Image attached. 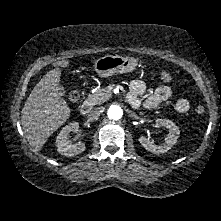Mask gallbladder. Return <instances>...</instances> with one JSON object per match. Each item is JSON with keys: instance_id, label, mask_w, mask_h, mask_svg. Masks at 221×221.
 <instances>
[{"instance_id": "obj_1", "label": "gallbladder", "mask_w": 221, "mask_h": 221, "mask_svg": "<svg viewBox=\"0 0 221 221\" xmlns=\"http://www.w3.org/2000/svg\"><path fill=\"white\" fill-rule=\"evenodd\" d=\"M60 94H61L62 96L65 94V90H64L63 87L60 89Z\"/></svg>"}]
</instances>
